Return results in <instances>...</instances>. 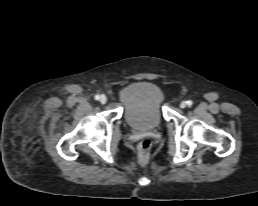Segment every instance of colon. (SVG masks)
Masks as SVG:
<instances>
[{"mask_svg": "<svg viewBox=\"0 0 258 206\" xmlns=\"http://www.w3.org/2000/svg\"><path fill=\"white\" fill-rule=\"evenodd\" d=\"M151 152V141L149 139H144L141 141L137 147V157L140 163H145L148 161Z\"/></svg>", "mask_w": 258, "mask_h": 206, "instance_id": "1", "label": "colon"}]
</instances>
